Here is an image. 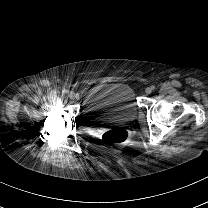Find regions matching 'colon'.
<instances>
[{"label":"colon","mask_w":208,"mask_h":208,"mask_svg":"<svg viewBox=\"0 0 208 208\" xmlns=\"http://www.w3.org/2000/svg\"><path fill=\"white\" fill-rule=\"evenodd\" d=\"M129 133L124 128H114L102 135L103 142L108 146L123 144L127 141Z\"/></svg>","instance_id":"5ec220e1"}]
</instances>
